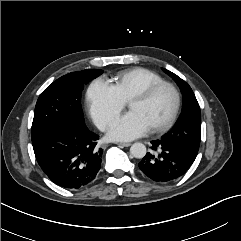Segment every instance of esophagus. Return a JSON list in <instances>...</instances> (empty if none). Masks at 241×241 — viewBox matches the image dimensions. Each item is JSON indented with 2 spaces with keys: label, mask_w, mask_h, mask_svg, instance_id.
Masks as SVG:
<instances>
[{
  "label": "esophagus",
  "mask_w": 241,
  "mask_h": 241,
  "mask_svg": "<svg viewBox=\"0 0 241 241\" xmlns=\"http://www.w3.org/2000/svg\"><path fill=\"white\" fill-rule=\"evenodd\" d=\"M117 144L124 147H129L131 145V143H126V142H119Z\"/></svg>",
  "instance_id": "esophagus-1"
}]
</instances>
